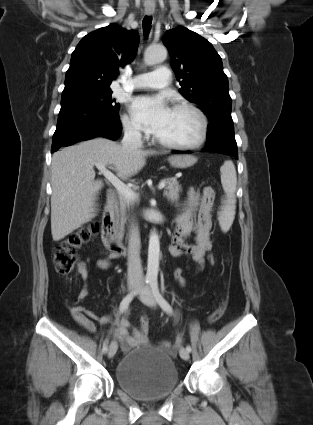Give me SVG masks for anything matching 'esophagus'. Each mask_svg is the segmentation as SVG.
<instances>
[{"mask_svg":"<svg viewBox=\"0 0 313 425\" xmlns=\"http://www.w3.org/2000/svg\"><path fill=\"white\" fill-rule=\"evenodd\" d=\"M153 12H154V7H151V6L145 7V14L146 15H151Z\"/></svg>","mask_w":313,"mask_h":425,"instance_id":"1","label":"esophagus"}]
</instances>
